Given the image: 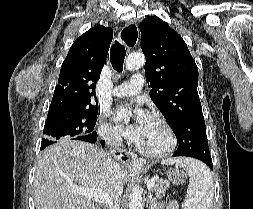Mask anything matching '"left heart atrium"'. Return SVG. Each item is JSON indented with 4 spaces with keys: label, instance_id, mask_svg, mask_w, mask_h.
Listing matches in <instances>:
<instances>
[{
    "label": "left heart atrium",
    "instance_id": "obj_1",
    "mask_svg": "<svg viewBox=\"0 0 253 209\" xmlns=\"http://www.w3.org/2000/svg\"><path fill=\"white\" fill-rule=\"evenodd\" d=\"M151 119L152 116L140 106L134 109L133 115L129 121H127L126 116L121 112L114 114V121L118 124L122 134L136 143H138L144 135Z\"/></svg>",
    "mask_w": 253,
    "mask_h": 209
}]
</instances>
